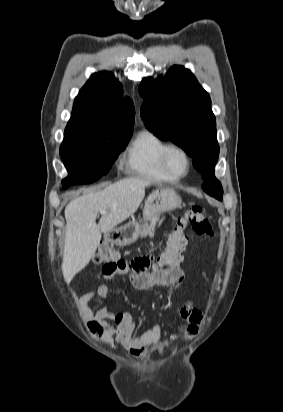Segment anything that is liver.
I'll return each instance as SVG.
<instances>
[{
	"label": "liver",
	"instance_id": "1",
	"mask_svg": "<svg viewBox=\"0 0 283 412\" xmlns=\"http://www.w3.org/2000/svg\"><path fill=\"white\" fill-rule=\"evenodd\" d=\"M146 178L120 180L105 189L72 200L65 208L66 233L62 271L67 282L81 271L94 256L102 233L113 230L139 208ZM101 210H107L96 224Z\"/></svg>",
	"mask_w": 283,
	"mask_h": 412
}]
</instances>
